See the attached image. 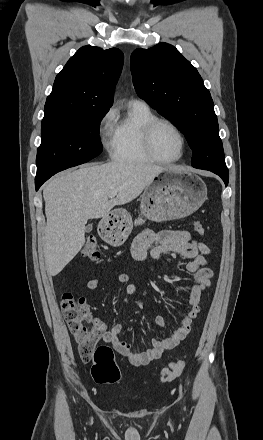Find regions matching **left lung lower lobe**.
I'll use <instances>...</instances> for the list:
<instances>
[{
	"mask_svg": "<svg viewBox=\"0 0 263 440\" xmlns=\"http://www.w3.org/2000/svg\"><path fill=\"white\" fill-rule=\"evenodd\" d=\"M214 172L215 174L219 175L222 180L224 181L225 185L227 186L228 181H229V173L227 172H221V171H217V170H209Z\"/></svg>",
	"mask_w": 263,
	"mask_h": 440,
	"instance_id": "left-lung-lower-lobe-1",
	"label": "left lung lower lobe"
}]
</instances>
